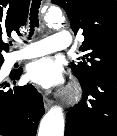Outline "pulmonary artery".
Masks as SVG:
<instances>
[{
    "instance_id": "pulmonary-artery-1",
    "label": "pulmonary artery",
    "mask_w": 117,
    "mask_h": 136,
    "mask_svg": "<svg viewBox=\"0 0 117 136\" xmlns=\"http://www.w3.org/2000/svg\"><path fill=\"white\" fill-rule=\"evenodd\" d=\"M72 40L70 31H57L52 36L29 43L21 51L14 52L12 61H22L66 49L71 46Z\"/></svg>"
}]
</instances>
